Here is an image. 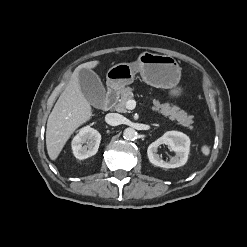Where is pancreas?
<instances>
[{
  "label": "pancreas",
  "mask_w": 247,
  "mask_h": 247,
  "mask_svg": "<svg viewBox=\"0 0 247 247\" xmlns=\"http://www.w3.org/2000/svg\"><path fill=\"white\" fill-rule=\"evenodd\" d=\"M134 96L133 94V88L126 87L121 90V98L117 105L115 106V110L118 112L126 113V102L130 99H132ZM153 106L152 110L155 112H158L165 117H169L170 120H176L178 124H181L188 129H193V117L190 115H187V113L183 110H181L179 107L171 105L169 103L161 104L159 100L153 99Z\"/></svg>",
  "instance_id": "obj_1"
}]
</instances>
